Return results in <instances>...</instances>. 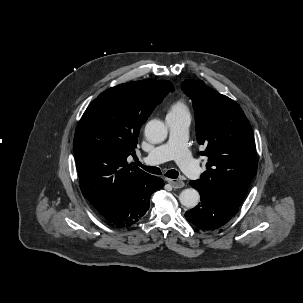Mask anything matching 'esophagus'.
Listing matches in <instances>:
<instances>
[{"mask_svg": "<svg viewBox=\"0 0 303 303\" xmlns=\"http://www.w3.org/2000/svg\"><path fill=\"white\" fill-rule=\"evenodd\" d=\"M167 182L175 189L184 187L185 183L180 179H167Z\"/></svg>", "mask_w": 303, "mask_h": 303, "instance_id": "obj_1", "label": "esophagus"}]
</instances>
